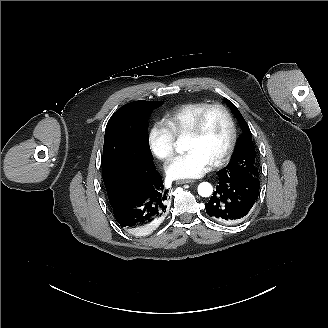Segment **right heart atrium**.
I'll return each instance as SVG.
<instances>
[{
  "mask_svg": "<svg viewBox=\"0 0 328 328\" xmlns=\"http://www.w3.org/2000/svg\"><path fill=\"white\" fill-rule=\"evenodd\" d=\"M148 145L151 153L160 160H167L175 153L174 137L162 121L150 125Z\"/></svg>",
  "mask_w": 328,
  "mask_h": 328,
  "instance_id": "d8ad5b80",
  "label": "right heart atrium"
}]
</instances>
